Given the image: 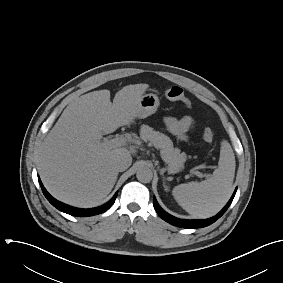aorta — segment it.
I'll list each match as a JSON object with an SVG mask.
<instances>
[{
	"label": "aorta",
	"mask_w": 283,
	"mask_h": 283,
	"mask_svg": "<svg viewBox=\"0 0 283 283\" xmlns=\"http://www.w3.org/2000/svg\"><path fill=\"white\" fill-rule=\"evenodd\" d=\"M136 177L142 183H149L153 178V172L149 167L141 166L137 170Z\"/></svg>",
	"instance_id": "aorta-1"
}]
</instances>
